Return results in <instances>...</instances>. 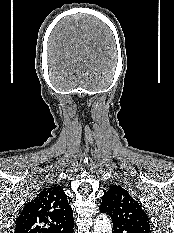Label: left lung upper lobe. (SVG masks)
<instances>
[{"instance_id": "obj_1", "label": "left lung upper lobe", "mask_w": 174, "mask_h": 233, "mask_svg": "<svg viewBox=\"0 0 174 233\" xmlns=\"http://www.w3.org/2000/svg\"><path fill=\"white\" fill-rule=\"evenodd\" d=\"M99 209L111 217L113 224L138 233H151L147 214L129 192L120 186L114 185L104 193Z\"/></svg>"}]
</instances>
